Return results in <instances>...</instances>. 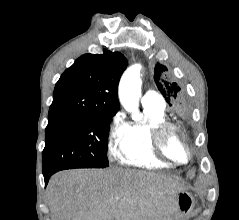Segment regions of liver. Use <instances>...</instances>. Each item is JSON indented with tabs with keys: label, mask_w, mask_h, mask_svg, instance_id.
Wrapping results in <instances>:
<instances>
[{
	"label": "liver",
	"mask_w": 239,
	"mask_h": 220,
	"mask_svg": "<svg viewBox=\"0 0 239 220\" xmlns=\"http://www.w3.org/2000/svg\"><path fill=\"white\" fill-rule=\"evenodd\" d=\"M177 178L135 169H74L49 181L52 220H166L177 211Z\"/></svg>",
	"instance_id": "6515ba94"
}]
</instances>
